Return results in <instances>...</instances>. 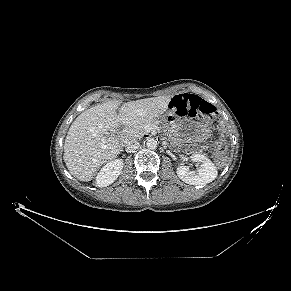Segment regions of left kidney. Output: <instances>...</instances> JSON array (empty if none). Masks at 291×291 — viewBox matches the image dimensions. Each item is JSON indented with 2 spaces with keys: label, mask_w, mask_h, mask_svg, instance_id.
Segmentation results:
<instances>
[{
  "label": "left kidney",
  "mask_w": 291,
  "mask_h": 291,
  "mask_svg": "<svg viewBox=\"0 0 291 291\" xmlns=\"http://www.w3.org/2000/svg\"><path fill=\"white\" fill-rule=\"evenodd\" d=\"M190 159L200 163V168L191 170L188 166H179L176 172L182 181L190 185H206L216 179L218 171L209 158L201 154H192Z\"/></svg>",
  "instance_id": "5707ae66"
}]
</instances>
